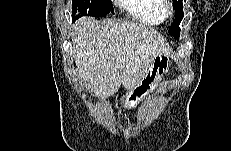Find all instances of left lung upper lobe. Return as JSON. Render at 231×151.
Returning a JSON list of instances; mask_svg holds the SVG:
<instances>
[{"mask_svg": "<svg viewBox=\"0 0 231 151\" xmlns=\"http://www.w3.org/2000/svg\"><path fill=\"white\" fill-rule=\"evenodd\" d=\"M173 7L176 11L175 20L172 23L171 27L169 28L168 32L171 35H173L175 38H179V35H180L179 24L184 16L183 11H182V8H183L182 0H173Z\"/></svg>", "mask_w": 231, "mask_h": 151, "instance_id": "1", "label": "left lung upper lobe"}]
</instances>
